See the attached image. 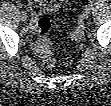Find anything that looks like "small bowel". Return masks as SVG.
I'll list each match as a JSON object with an SVG mask.
<instances>
[{
    "label": "small bowel",
    "instance_id": "small-bowel-1",
    "mask_svg": "<svg viewBox=\"0 0 111 106\" xmlns=\"http://www.w3.org/2000/svg\"><path fill=\"white\" fill-rule=\"evenodd\" d=\"M66 2V0L33 1L31 2V7L34 14H37L40 10L52 13L57 11Z\"/></svg>",
    "mask_w": 111,
    "mask_h": 106
}]
</instances>
